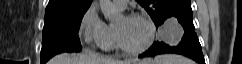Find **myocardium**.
<instances>
[{"label":"myocardium","instance_id":"f54148a6","mask_svg":"<svg viewBox=\"0 0 242 64\" xmlns=\"http://www.w3.org/2000/svg\"><path fill=\"white\" fill-rule=\"evenodd\" d=\"M125 17L127 19H138V20L144 21L148 25V27H149V36H148L147 41L142 46L135 47V48L134 47H129V46H127L123 42L119 30L115 26V30H116V41H117L118 47L122 51H124V52H126L128 54H140V53L145 52L146 50H148L152 46V44H153V42L155 40V36H156V26H155L153 20L149 16H147L145 14H141V13H131L129 15H126Z\"/></svg>","mask_w":242,"mask_h":64}]
</instances>
